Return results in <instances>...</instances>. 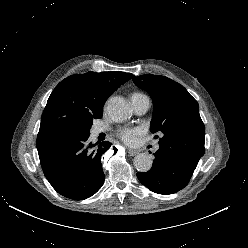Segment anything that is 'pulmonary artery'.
<instances>
[{
  "instance_id": "obj_1",
  "label": "pulmonary artery",
  "mask_w": 248,
  "mask_h": 248,
  "mask_svg": "<svg viewBox=\"0 0 248 248\" xmlns=\"http://www.w3.org/2000/svg\"><path fill=\"white\" fill-rule=\"evenodd\" d=\"M131 102H132V105H133V108H134L135 112L137 114H140V115L146 113L147 110L150 107L149 98L146 95H143V94H141V95H132L131 96ZM103 131H104V128L95 127L92 130V134L94 136H97L100 133H102ZM157 148H158V146H157Z\"/></svg>"
}]
</instances>
